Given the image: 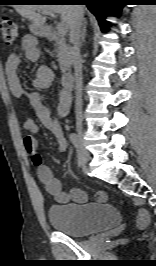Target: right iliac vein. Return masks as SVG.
Here are the masks:
<instances>
[{"label":"right iliac vein","instance_id":"1","mask_svg":"<svg viewBox=\"0 0 156 266\" xmlns=\"http://www.w3.org/2000/svg\"><path fill=\"white\" fill-rule=\"evenodd\" d=\"M76 131H77V135L79 137L81 159L84 163H87L90 159V155H89L88 151L85 149L84 144H83V128H82L81 124H77Z\"/></svg>","mask_w":156,"mask_h":266}]
</instances>
